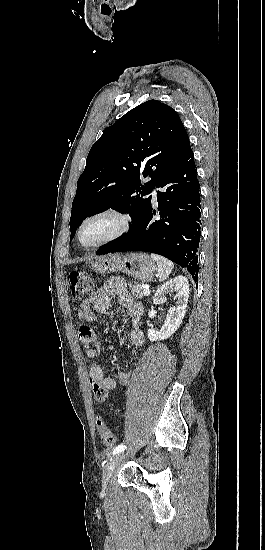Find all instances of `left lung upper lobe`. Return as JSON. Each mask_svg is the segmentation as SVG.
<instances>
[{
    "label": "left lung upper lobe",
    "instance_id": "obj_1",
    "mask_svg": "<svg viewBox=\"0 0 265 550\" xmlns=\"http://www.w3.org/2000/svg\"><path fill=\"white\" fill-rule=\"evenodd\" d=\"M189 144L177 112L157 100L140 104L106 128L77 182L70 239L84 219L110 207L129 213L131 229L136 227L151 205L148 194ZM140 174L151 180L141 184Z\"/></svg>",
    "mask_w": 265,
    "mask_h": 550
}]
</instances>
